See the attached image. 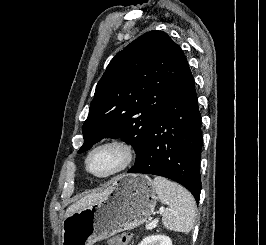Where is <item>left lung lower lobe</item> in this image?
Listing matches in <instances>:
<instances>
[{
  "mask_svg": "<svg viewBox=\"0 0 266 245\" xmlns=\"http://www.w3.org/2000/svg\"><path fill=\"white\" fill-rule=\"evenodd\" d=\"M201 124L195 82L187 66L154 118L142 156L128 172L169 178L186 187L198 202L203 144Z\"/></svg>",
  "mask_w": 266,
  "mask_h": 245,
  "instance_id": "1",
  "label": "left lung lower lobe"
}]
</instances>
